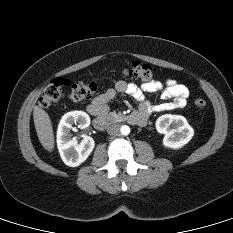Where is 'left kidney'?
<instances>
[{"instance_id": "obj_1", "label": "left kidney", "mask_w": 233, "mask_h": 233, "mask_svg": "<svg viewBox=\"0 0 233 233\" xmlns=\"http://www.w3.org/2000/svg\"><path fill=\"white\" fill-rule=\"evenodd\" d=\"M155 125L157 131L164 134L163 145L167 148L179 149L194 136L193 128L186 118L180 115H162L156 120Z\"/></svg>"}]
</instances>
